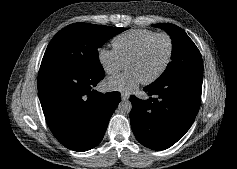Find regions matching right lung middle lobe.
Wrapping results in <instances>:
<instances>
[{"instance_id":"dd1d6c3e","label":"right lung middle lobe","mask_w":237,"mask_h":169,"mask_svg":"<svg viewBox=\"0 0 237 169\" xmlns=\"http://www.w3.org/2000/svg\"><path fill=\"white\" fill-rule=\"evenodd\" d=\"M124 28L74 23L60 30L49 43L41 67H58L88 74L103 72L98 49Z\"/></svg>"}]
</instances>
